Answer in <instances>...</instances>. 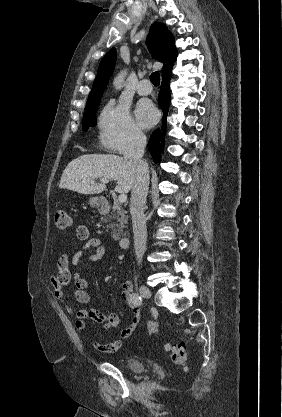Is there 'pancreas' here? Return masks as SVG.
Instances as JSON below:
<instances>
[{
	"label": "pancreas",
	"instance_id": "cf45deb5",
	"mask_svg": "<svg viewBox=\"0 0 282 417\" xmlns=\"http://www.w3.org/2000/svg\"><path fill=\"white\" fill-rule=\"evenodd\" d=\"M112 215H105L102 219V223H108L107 229H111V237L114 241H119L121 235H123V229H125V223L128 221L127 211L122 209L119 202H115Z\"/></svg>",
	"mask_w": 282,
	"mask_h": 417
}]
</instances>
